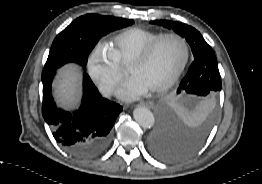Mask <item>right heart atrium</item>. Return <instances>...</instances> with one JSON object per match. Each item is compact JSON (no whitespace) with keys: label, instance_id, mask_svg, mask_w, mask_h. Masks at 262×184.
Returning <instances> with one entry per match:
<instances>
[{"label":"right heart atrium","instance_id":"d8ad5b80","mask_svg":"<svg viewBox=\"0 0 262 184\" xmlns=\"http://www.w3.org/2000/svg\"><path fill=\"white\" fill-rule=\"evenodd\" d=\"M87 68L90 78L106 96L115 92L125 76L111 53L101 46L91 52Z\"/></svg>","mask_w":262,"mask_h":184}]
</instances>
